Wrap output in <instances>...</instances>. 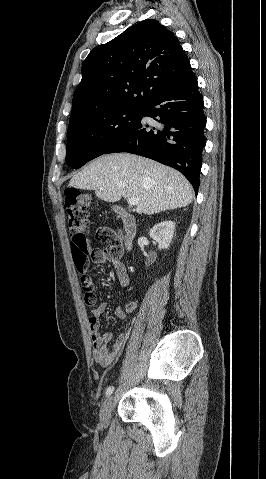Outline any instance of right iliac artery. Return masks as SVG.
<instances>
[{
	"label": "right iliac artery",
	"instance_id": "82829eb1",
	"mask_svg": "<svg viewBox=\"0 0 266 479\" xmlns=\"http://www.w3.org/2000/svg\"><path fill=\"white\" fill-rule=\"evenodd\" d=\"M114 391V387L113 386H109L107 389H106V397L110 396Z\"/></svg>",
	"mask_w": 266,
	"mask_h": 479
}]
</instances>
